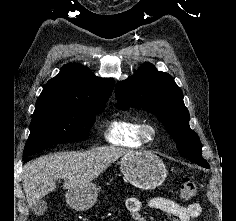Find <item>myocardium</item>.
Returning a JSON list of instances; mask_svg holds the SVG:
<instances>
[{"mask_svg":"<svg viewBox=\"0 0 236 221\" xmlns=\"http://www.w3.org/2000/svg\"><path fill=\"white\" fill-rule=\"evenodd\" d=\"M158 129L155 124L150 122L142 123L139 129V136L143 143L151 144L158 137Z\"/></svg>","mask_w":236,"mask_h":221,"instance_id":"myocardium-1","label":"myocardium"}]
</instances>
